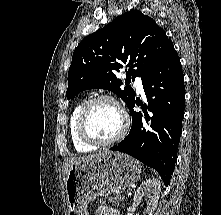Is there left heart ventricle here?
Returning a JSON list of instances; mask_svg holds the SVG:
<instances>
[{"label":"left heart ventricle","instance_id":"b2bd125f","mask_svg":"<svg viewBox=\"0 0 221 215\" xmlns=\"http://www.w3.org/2000/svg\"><path fill=\"white\" fill-rule=\"evenodd\" d=\"M122 126V117L116 106L110 102H99L90 111L88 131L99 139L114 137Z\"/></svg>","mask_w":221,"mask_h":215}]
</instances>
